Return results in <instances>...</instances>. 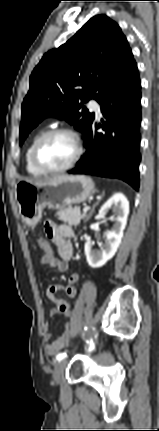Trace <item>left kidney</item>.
Returning a JSON list of instances; mask_svg holds the SVG:
<instances>
[{"mask_svg": "<svg viewBox=\"0 0 159 431\" xmlns=\"http://www.w3.org/2000/svg\"><path fill=\"white\" fill-rule=\"evenodd\" d=\"M112 211L114 225L111 230L105 233V244L100 251L93 249V242H86L85 255L87 262L92 268H99L106 264L116 253L127 224L129 214V202L124 194H114L99 210L100 216H105L108 211Z\"/></svg>", "mask_w": 159, "mask_h": 431, "instance_id": "5707ae66", "label": "left kidney"}]
</instances>
